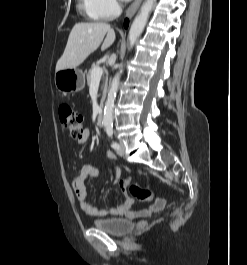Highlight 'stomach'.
Instances as JSON below:
<instances>
[{"label": "stomach", "instance_id": "1", "mask_svg": "<svg viewBox=\"0 0 247 265\" xmlns=\"http://www.w3.org/2000/svg\"><path fill=\"white\" fill-rule=\"evenodd\" d=\"M55 86L62 93H75L85 86V74L81 69H62L56 71Z\"/></svg>", "mask_w": 247, "mask_h": 265}]
</instances>
